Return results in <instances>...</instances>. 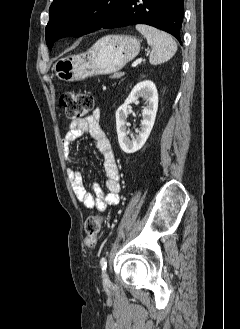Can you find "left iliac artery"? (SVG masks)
I'll return each mask as SVG.
<instances>
[{
	"mask_svg": "<svg viewBox=\"0 0 240 329\" xmlns=\"http://www.w3.org/2000/svg\"><path fill=\"white\" fill-rule=\"evenodd\" d=\"M100 265H101V268H102V271H105L106 268H107V260L105 257H102L101 260H100Z\"/></svg>",
	"mask_w": 240,
	"mask_h": 329,
	"instance_id": "44dca946",
	"label": "left iliac artery"
}]
</instances>
